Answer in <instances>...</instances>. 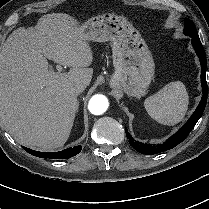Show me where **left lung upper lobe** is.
<instances>
[{
	"label": "left lung upper lobe",
	"mask_w": 209,
	"mask_h": 209,
	"mask_svg": "<svg viewBox=\"0 0 209 209\" xmlns=\"http://www.w3.org/2000/svg\"><path fill=\"white\" fill-rule=\"evenodd\" d=\"M184 34L191 38H199L194 23L190 19H185Z\"/></svg>",
	"instance_id": "obj_1"
}]
</instances>
